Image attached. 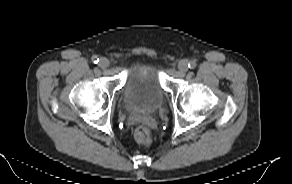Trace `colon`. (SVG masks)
Listing matches in <instances>:
<instances>
[{"label":"colon","instance_id":"obj_1","mask_svg":"<svg viewBox=\"0 0 292 184\" xmlns=\"http://www.w3.org/2000/svg\"><path fill=\"white\" fill-rule=\"evenodd\" d=\"M135 140L142 145H149L152 141L151 131L144 125L137 126L134 130Z\"/></svg>","mask_w":292,"mask_h":184}]
</instances>
